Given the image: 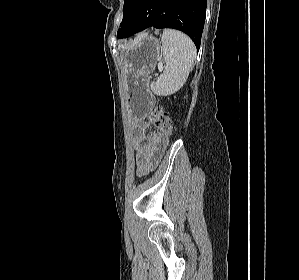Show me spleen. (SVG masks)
<instances>
[{
  "instance_id": "spleen-1",
  "label": "spleen",
  "mask_w": 299,
  "mask_h": 280,
  "mask_svg": "<svg viewBox=\"0 0 299 280\" xmlns=\"http://www.w3.org/2000/svg\"><path fill=\"white\" fill-rule=\"evenodd\" d=\"M161 41L166 65L160 77L150 84V88L156 95L167 96L184 85L193 69L197 51L192 40L176 30H164Z\"/></svg>"
}]
</instances>
